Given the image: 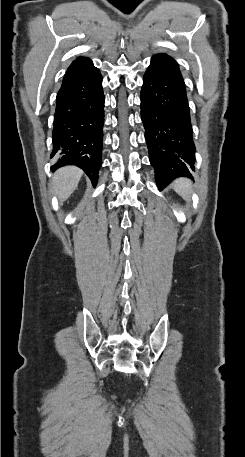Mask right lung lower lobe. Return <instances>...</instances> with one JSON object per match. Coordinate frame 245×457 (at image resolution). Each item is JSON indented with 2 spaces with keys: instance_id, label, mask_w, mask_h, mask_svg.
I'll return each mask as SVG.
<instances>
[{
  "instance_id": "obj_1",
  "label": "right lung lower lobe",
  "mask_w": 245,
  "mask_h": 457,
  "mask_svg": "<svg viewBox=\"0 0 245 457\" xmlns=\"http://www.w3.org/2000/svg\"><path fill=\"white\" fill-rule=\"evenodd\" d=\"M103 124L104 94L99 70L64 76L56 97L51 153L55 164L51 169L76 165L96 185L102 164Z\"/></svg>"
}]
</instances>
